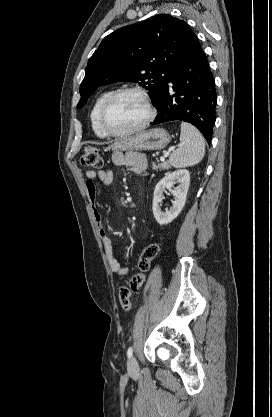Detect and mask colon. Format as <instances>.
I'll use <instances>...</instances> for the list:
<instances>
[{
    "label": "colon",
    "instance_id": "1",
    "mask_svg": "<svg viewBox=\"0 0 272 417\" xmlns=\"http://www.w3.org/2000/svg\"><path fill=\"white\" fill-rule=\"evenodd\" d=\"M81 164L87 168H101L103 166V160L98 149L93 146L85 147L81 155ZM160 250L161 245L159 243L149 244L139 258V273L133 275L126 285L120 287L118 300L124 311L127 312L130 310L131 298L140 291L145 281V276L149 271L150 263L160 253Z\"/></svg>",
    "mask_w": 272,
    "mask_h": 417
}]
</instances>
